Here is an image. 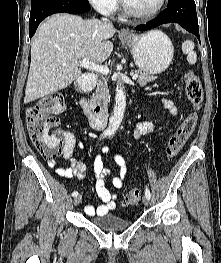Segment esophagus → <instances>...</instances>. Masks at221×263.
I'll list each match as a JSON object with an SVG mask.
<instances>
[{
	"instance_id": "esophagus-1",
	"label": "esophagus",
	"mask_w": 221,
	"mask_h": 263,
	"mask_svg": "<svg viewBox=\"0 0 221 263\" xmlns=\"http://www.w3.org/2000/svg\"><path fill=\"white\" fill-rule=\"evenodd\" d=\"M120 35H121V36H130L131 33H130L128 30H121V31H120Z\"/></svg>"
}]
</instances>
